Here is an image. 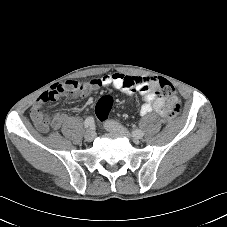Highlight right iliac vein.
<instances>
[{"label":"right iliac vein","mask_w":227,"mask_h":227,"mask_svg":"<svg viewBox=\"0 0 227 227\" xmlns=\"http://www.w3.org/2000/svg\"><path fill=\"white\" fill-rule=\"evenodd\" d=\"M95 136H96V133L92 129L87 130L86 133H85V135H84L85 140L87 142H92L94 140Z\"/></svg>","instance_id":"63e3f726"}]
</instances>
